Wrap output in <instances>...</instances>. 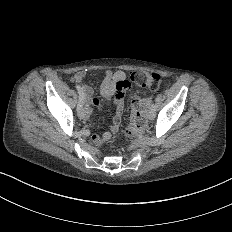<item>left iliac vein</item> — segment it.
Here are the masks:
<instances>
[{
	"label": "left iliac vein",
	"mask_w": 232,
	"mask_h": 232,
	"mask_svg": "<svg viewBox=\"0 0 232 232\" xmlns=\"http://www.w3.org/2000/svg\"><path fill=\"white\" fill-rule=\"evenodd\" d=\"M148 118L149 119H154L155 118V112L154 111H149L148 112Z\"/></svg>",
	"instance_id": "4c4485c4"
}]
</instances>
